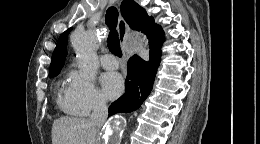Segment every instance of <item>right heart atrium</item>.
Masks as SVG:
<instances>
[{
  "label": "right heart atrium",
  "instance_id": "obj_1",
  "mask_svg": "<svg viewBox=\"0 0 260 144\" xmlns=\"http://www.w3.org/2000/svg\"><path fill=\"white\" fill-rule=\"evenodd\" d=\"M67 96L75 112L83 116L103 109L107 105L105 97L96 84L77 71H72L70 74Z\"/></svg>",
  "mask_w": 260,
  "mask_h": 144
}]
</instances>
